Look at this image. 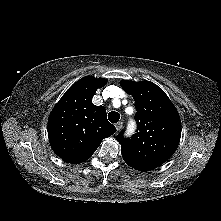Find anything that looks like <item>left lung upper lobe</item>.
Listing matches in <instances>:
<instances>
[{
    "label": "left lung upper lobe",
    "mask_w": 221,
    "mask_h": 221,
    "mask_svg": "<svg viewBox=\"0 0 221 221\" xmlns=\"http://www.w3.org/2000/svg\"><path fill=\"white\" fill-rule=\"evenodd\" d=\"M123 90L132 95L137 114V133L129 139L117 136L122 157L139 171L154 169L167 161L181 136L179 114L165 92L149 81L122 80Z\"/></svg>",
    "instance_id": "left-lung-upper-lobe-1"
}]
</instances>
